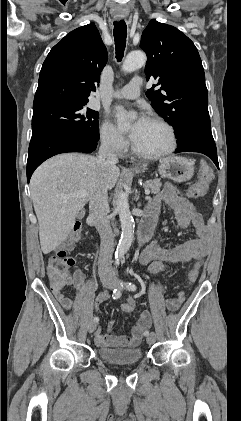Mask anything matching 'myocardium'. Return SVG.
<instances>
[{"instance_id": "myocardium-1", "label": "myocardium", "mask_w": 241, "mask_h": 421, "mask_svg": "<svg viewBox=\"0 0 241 421\" xmlns=\"http://www.w3.org/2000/svg\"><path fill=\"white\" fill-rule=\"evenodd\" d=\"M147 121L160 124L164 128H166V130L169 134V144L164 150H162L160 152L148 153V152H143L140 149H138L133 142L132 143V152L135 155H137L138 157L148 159V160H157V159H161L163 157L168 156L177 147V135H176L175 128L168 121H166L165 119H163L161 117L153 116V117H150Z\"/></svg>"}]
</instances>
